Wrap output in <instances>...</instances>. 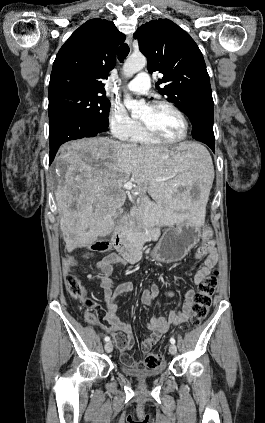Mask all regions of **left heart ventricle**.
I'll return each mask as SVG.
<instances>
[{"instance_id": "b2bd125f", "label": "left heart ventricle", "mask_w": 265, "mask_h": 423, "mask_svg": "<svg viewBox=\"0 0 265 423\" xmlns=\"http://www.w3.org/2000/svg\"><path fill=\"white\" fill-rule=\"evenodd\" d=\"M139 121L148 124L157 133L168 139H178L184 131L181 118L174 111L166 107L158 109L146 107Z\"/></svg>"}]
</instances>
